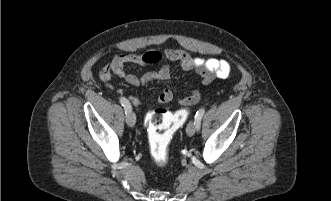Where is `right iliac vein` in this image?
Returning a JSON list of instances; mask_svg holds the SVG:
<instances>
[{"mask_svg": "<svg viewBox=\"0 0 331 201\" xmlns=\"http://www.w3.org/2000/svg\"><path fill=\"white\" fill-rule=\"evenodd\" d=\"M126 123L130 126L133 127L136 123V116L132 111H128L126 113Z\"/></svg>", "mask_w": 331, "mask_h": 201, "instance_id": "1", "label": "right iliac vein"}]
</instances>
